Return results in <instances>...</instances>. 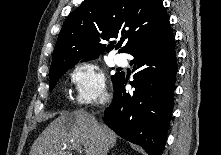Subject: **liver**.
Wrapping results in <instances>:
<instances>
[{
  "label": "liver",
  "mask_w": 221,
  "mask_h": 155,
  "mask_svg": "<svg viewBox=\"0 0 221 155\" xmlns=\"http://www.w3.org/2000/svg\"><path fill=\"white\" fill-rule=\"evenodd\" d=\"M117 135L95 117L77 110L53 120L38 136L29 155H73L72 145L84 147L86 155H107Z\"/></svg>",
  "instance_id": "obj_1"
}]
</instances>
